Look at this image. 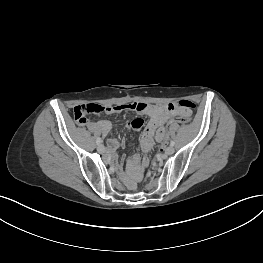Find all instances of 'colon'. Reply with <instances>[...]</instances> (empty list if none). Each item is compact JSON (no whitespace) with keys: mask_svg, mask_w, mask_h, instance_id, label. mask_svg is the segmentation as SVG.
<instances>
[{"mask_svg":"<svg viewBox=\"0 0 263 263\" xmlns=\"http://www.w3.org/2000/svg\"><path fill=\"white\" fill-rule=\"evenodd\" d=\"M177 103H180L182 105L189 104V105H191L192 109L195 108V104L191 101H188V100H181V101H178ZM105 111H106V107H104L100 104H96V103L84 104V105L77 106L74 109V118L78 124H83L86 122L88 115L99 114V113H103ZM190 119H191L190 115L189 116H182L181 118L173 117L167 122V124H166V138L162 140L161 145L157 148V152L153 156V160L151 161L150 165L146 169V173H145L144 178L141 179L142 183H145L146 180L149 179L151 171H152L153 167L155 166V164L157 163V161L161 155V152L163 151L165 146H168L170 144L172 125L174 123L183 124V125L188 124L189 125L191 123Z\"/></svg>","mask_w":263,"mask_h":263,"instance_id":"1","label":"colon"}]
</instances>
